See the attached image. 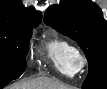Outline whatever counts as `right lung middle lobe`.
<instances>
[{
	"mask_svg": "<svg viewBox=\"0 0 107 89\" xmlns=\"http://www.w3.org/2000/svg\"><path fill=\"white\" fill-rule=\"evenodd\" d=\"M34 27L0 23V88L24 72L28 44Z\"/></svg>",
	"mask_w": 107,
	"mask_h": 89,
	"instance_id": "dd1d6c3e",
	"label": "right lung middle lobe"
}]
</instances>
